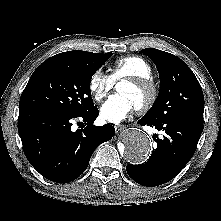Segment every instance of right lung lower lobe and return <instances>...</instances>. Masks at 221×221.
I'll list each match as a JSON object with an SVG mask.
<instances>
[{
	"instance_id": "98d812e1",
	"label": "right lung lower lobe",
	"mask_w": 221,
	"mask_h": 221,
	"mask_svg": "<svg viewBox=\"0 0 221 221\" xmlns=\"http://www.w3.org/2000/svg\"><path fill=\"white\" fill-rule=\"evenodd\" d=\"M98 115L97 107L80 116L46 108H20L18 131L30 164L53 182L75 180L86 170L97 146L114 135L109 124L93 125ZM73 119L83 121L86 127L72 131Z\"/></svg>"
}]
</instances>
